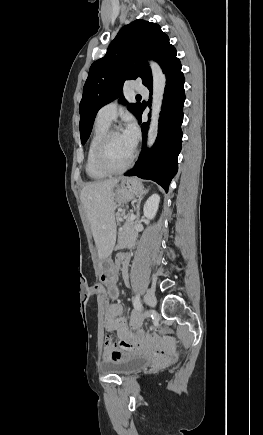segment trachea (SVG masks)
<instances>
[{"label":"trachea","mask_w":263,"mask_h":435,"mask_svg":"<svg viewBox=\"0 0 263 435\" xmlns=\"http://www.w3.org/2000/svg\"><path fill=\"white\" fill-rule=\"evenodd\" d=\"M137 97H138V98H140L141 96H140V95H138Z\"/></svg>","instance_id":"3493384b"}]
</instances>
